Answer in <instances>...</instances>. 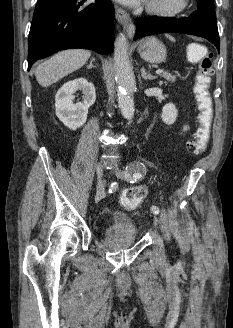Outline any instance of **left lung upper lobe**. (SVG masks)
<instances>
[{"mask_svg": "<svg viewBox=\"0 0 233 328\" xmlns=\"http://www.w3.org/2000/svg\"><path fill=\"white\" fill-rule=\"evenodd\" d=\"M199 1V8L209 12V13H215L214 11V2L213 0H198Z\"/></svg>", "mask_w": 233, "mask_h": 328, "instance_id": "1", "label": "left lung upper lobe"}]
</instances>
